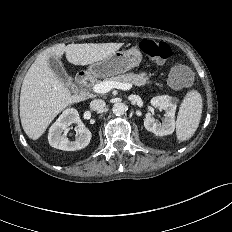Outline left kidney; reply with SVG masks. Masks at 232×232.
Wrapping results in <instances>:
<instances>
[{"label": "left kidney", "mask_w": 232, "mask_h": 232, "mask_svg": "<svg viewBox=\"0 0 232 232\" xmlns=\"http://www.w3.org/2000/svg\"><path fill=\"white\" fill-rule=\"evenodd\" d=\"M155 108L165 111V119L162 123L156 122L149 113L145 115L144 127L157 136L170 135L175 130L176 100L168 95L153 97L150 101Z\"/></svg>", "instance_id": "5707ae66"}]
</instances>
